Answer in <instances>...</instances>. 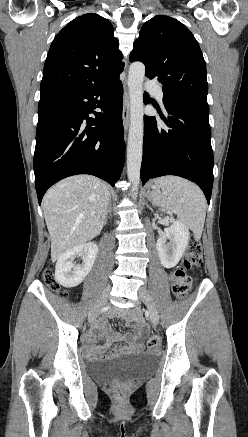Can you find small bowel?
I'll list each match as a JSON object with an SVG mask.
<instances>
[{"mask_svg":"<svg viewBox=\"0 0 248 437\" xmlns=\"http://www.w3.org/2000/svg\"><path fill=\"white\" fill-rule=\"evenodd\" d=\"M117 313L116 311H111L108 316L113 317ZM139 333L137 336L135 335H121L116 332H113L109 326L107 325L105 319H101L94 331L84 338L85 343V353L89 358L92 359H104L108 355L106 354L107 349L111 346V344L115 341H123L124 345L115 346L111 352L110 356H114L123 351L135 352L142 349V343L137 340L139 336H141L145 332V327L138 323ZM105 335L106 339L102 345L95 343V338L100 335Z\"/></svg>","mask_w":248,"mask_h":437,"instance_id":"1","label":"small bowel"}]
</instances>
